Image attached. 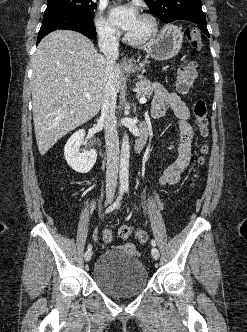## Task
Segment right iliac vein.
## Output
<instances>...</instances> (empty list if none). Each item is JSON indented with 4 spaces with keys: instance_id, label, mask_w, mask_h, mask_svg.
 <instances>
[{
    "instance_id": "63e3f726",
    "label": "right iliac vein",
    "mask_w": 247,
    "mask_h": 332,
    "mask_svg": "<svg viewBox=\"0 0 247 332\" xmlns=\"http://www.w3.org/2000/svg\"><path fill=\"white\" fill-rule=\"evenodd\" d=\"M92 255H93V252L91 250L86 251L85 255H84L85 261H87V262L90 261V259L92 258Z\"/></svg>"
}]
</instances>
